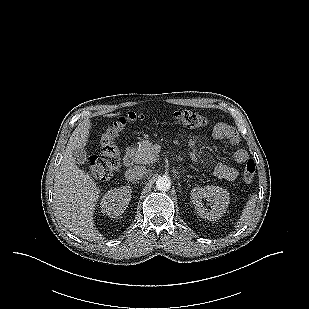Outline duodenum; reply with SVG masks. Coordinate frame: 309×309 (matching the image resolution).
<instances>
[{
    "mask_svg": "<svg viewBox=\"0 0 309 309\" xmlns=\"http://www.w3.org/2000/svg\"><path fill=\"white\" fill-rule=\"evenodd\" d=\"M123 162H124V165L126 167H130L131 165H133V163L135 162V153L134 151H128L126 152V154L124 155V158H123Z\"/></svg>",
    "mask_w": 309,
    "mask_h": 309,
    "instance_id": "410a0bca",
    "label": "duodenum"
}]
</instances>
